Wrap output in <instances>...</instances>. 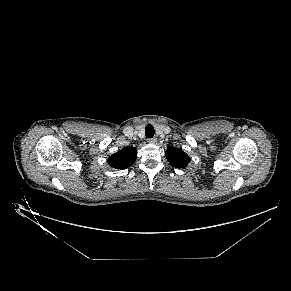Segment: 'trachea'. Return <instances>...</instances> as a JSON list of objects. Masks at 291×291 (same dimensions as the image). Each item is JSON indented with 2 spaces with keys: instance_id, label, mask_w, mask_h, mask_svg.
Masks as SVG:
<instances>
[{
  "instance_id": "trachea-1",
  "label": "trachea",
  "mask_w": 291,
  "mask_h": 291,
  "mask_svg": "<svg viewBox=\"0 0 291 291\" xmlns=\"http://www.w3.org/2000/svg\"><path fill=\"white\" fill-rule=\"evenodd\" d=\"M155 133L154 127L152 125H147L145 128V135L147 138H153Z\"/></svg>"
}]
</instances>
